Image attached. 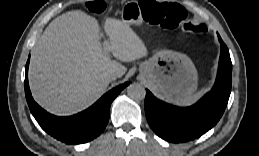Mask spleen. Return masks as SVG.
<instances>
[{
  "label": "spleen",
  "instance_id": "3e777b00",
  "mask_svg": "<svg viewBox=\"0 0 259 156\" xmlns=\"http://www.w3.org/2000/svg\"><path fill=\"white\" fill-rule=\"evenodd\" d=\"M205 92L206 88H202L197 93L176 101L175 104L178 106H190L197 102L204 95Z\"/></svg>",
  "mask_w": 259,
  "mask_h": 156
}]
</instances>
